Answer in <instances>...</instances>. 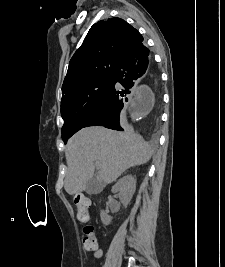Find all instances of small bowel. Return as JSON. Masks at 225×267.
<instances>
[{
    "label": "small bowel",
    "mask_w": 225,
    "mask_h": 267,
    "mask_svg": "<svg viewBox=\"0 0 225 267\" xmlns=\"http://www.w3.org/2000/svg\"><path fill=\"white\" fill-rule=\"evenodd\" d=\"M95 257H100L102 255V251L99 249V247L96 245V247L93 249Z\"/></svg>",
    "instance_id": "1"
}]
</instances>
